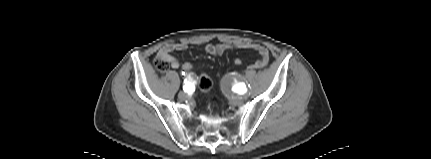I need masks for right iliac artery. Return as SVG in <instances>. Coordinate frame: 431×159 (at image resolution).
Wrapping results in <instances>:
<instances>
[{"instance_id":"obj_1","label":"right iliac artery","mask_w":431,"mask_h":159,"mask_svg":"<svg viewBox=\"0 0 431 159\" xmlns=\"http://www.w3.org/2000/svg\"><path fill=\"white\" fill-rule=\"evenodd\" d=\"M193 89H194V83H192V82L190 81V79H185V80H184V85H183V90H184L185 92L190 93V92H192V91H193Z\"/></svg>"}]
</instances>
